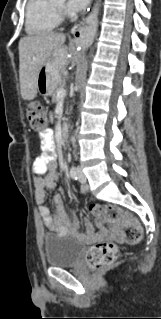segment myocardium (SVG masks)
Masks as SVG:
<instances>
[{
  "label": "myocardium",
  "mask_w": 161,
  "mask_h": 319,
  "mask_svg": "<svg viewBox=\"0 0 161 319\" xmlns=\"http://www.w3.org/2000/svg\"><path fill=\"white\" fill-rule=\"evenodd\" d=\"M56 7H57V10L59 12V15H65L63 7H61V6L57 5V4H56Z\"/></svg>",
  "instance_id": "obj_1"
}]
</instances>
